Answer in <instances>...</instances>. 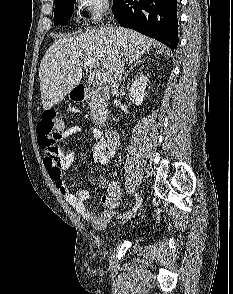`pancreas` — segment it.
Returning <instances> with one entry per match:
<instances>
[{
    "label": "pancreas",
    "instance_id": "pancreas-1",
    "mask_svg": "<svg viewBox=\"0 0 233 294\" xmlns=\"http://www.w3.org/2000/svg\"><path fill=\"white\" fill-rule=\"evenodd\" d=\"M89 108L95 124L104 125L107 118V102L98 90H92L89 94Z\"/></svg>",
    "mask_w": 233,
    "mask_h": 294
}]
</instances>
